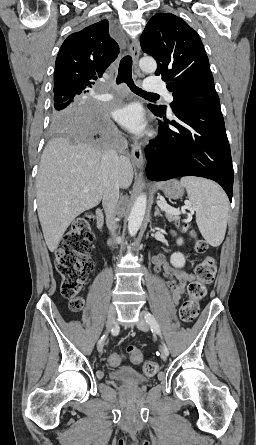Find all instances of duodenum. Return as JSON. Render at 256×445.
<instances>
[{"label": "duodenum", "mask_w": 256, "mask_h": 445, "mask_svg": "<svg viewBox=\"0 0 256 445\" xmlns=\"http://www.w3.org/2000/svg\"><path fill=\"white\" fill-rule=\"evenodd\" d=\"M96 213H97V228L102 231L104 228L103 214L101 210H97Z\"/></svg>", "instance_id": "410a0bca"}]
</instances>
